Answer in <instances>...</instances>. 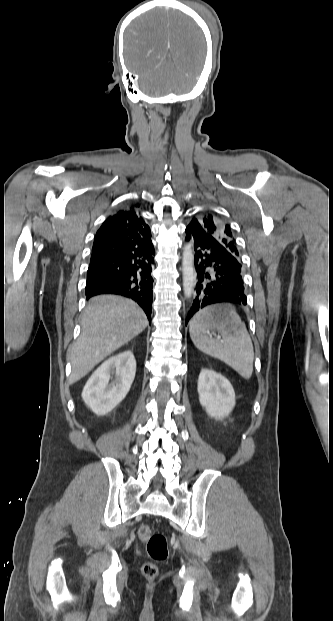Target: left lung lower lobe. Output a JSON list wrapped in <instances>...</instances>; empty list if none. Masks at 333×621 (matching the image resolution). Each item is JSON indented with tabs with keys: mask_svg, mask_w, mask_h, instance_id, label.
I'll use <instances>...</instances> for the list:
<instances>
[{
	"mask_svg": "<svg viewBox=\"0 0 333 621\" xmlns=\"http://www.w3.org/2000/svg\"><path fill=\"white\" fill-rule=\"evenodd\" d=\"M186 241L193 248L196 297L188 320L200 309L215 303L246 304L241 263L214 236L199 227L187 226Z\"/></svg>",
	"mask_w": 333,
	"mask_h": 621,
	"instance_id": "obj_1",
	"label": "left lung lower lobe"
}]
</instances>
